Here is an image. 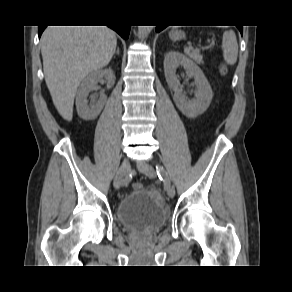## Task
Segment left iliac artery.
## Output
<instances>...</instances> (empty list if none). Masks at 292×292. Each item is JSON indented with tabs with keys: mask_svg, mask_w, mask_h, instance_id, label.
Wrapping results in <instances>:
<instances>
[{
	"mask_svg": "<svg viewBox=\"0 0 292 292\" xmlns=\"http://www.w3.org/2000/svg\"><path fill=\"white\" fill-rule=\"evenodd\" d=\"M156 171L159 179L163 181L165 189L170 186V179L167 171L162 166H156Z\"/></svg>",
	"mask_w": 292,
	"mask_h": 292,
	"instance_id": "1",
	"label": "left iliac artery"
}]
</instances>
